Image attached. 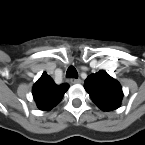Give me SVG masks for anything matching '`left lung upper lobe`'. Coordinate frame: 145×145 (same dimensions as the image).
Masks as SVG:
<instances>
[{
    "instance_id": "left-lung-upper-lobe-1",
    "label": "left lung upper lobe",
    "mask_w": 145,
    "mask_h": 145,
    "mask_svg": "<svg viewBox=\"0 0 145 145\" xmlns=\"http://www.w3.org/2000/svg\"><path fill=\"white\" fill-rule=\"evenodd\" d=\"M84 88L92 101L103 111L115 110L121 104V85L103 70L90 75L85 81Z\"/></svg>"
}]
</instances>
